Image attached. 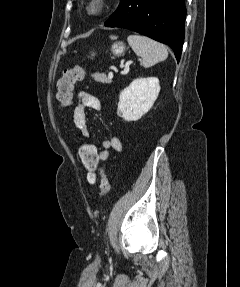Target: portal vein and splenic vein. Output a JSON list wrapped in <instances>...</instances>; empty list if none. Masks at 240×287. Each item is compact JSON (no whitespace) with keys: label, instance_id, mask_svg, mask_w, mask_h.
Segmentation results:
<instances>
[{"label":"portal vein and splenic vein","instance_id":"obj_1","mask_svg":"<svg viewBox=\"0 0 240 287\" xmlns=\"http://www.w3.org/2000/svg\"><path fill=\"white\" fill-rule=\"evenodd\" d=\"M130 64V63H129ZM129 64L126 65L125 70L128 71L129 70ZM108 77L111 79L113 78V72H109Z\"/></svg>","mask_w":240,"mask_h":287}]
</instances>
